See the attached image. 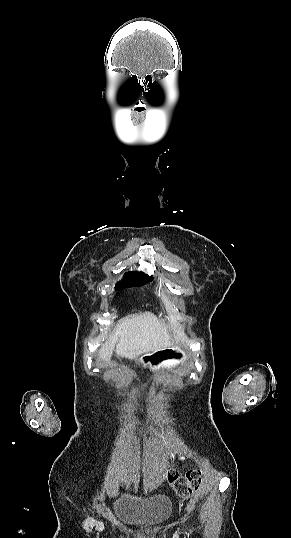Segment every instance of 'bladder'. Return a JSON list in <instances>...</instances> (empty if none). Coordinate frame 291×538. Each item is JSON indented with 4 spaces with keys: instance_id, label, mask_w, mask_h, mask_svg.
<instances>
[{
    "instance_id": "31cf9c89",
    "label": "bladder",
    "mask_w": 291,
    "mask_h": 538,
    "mask_svg": "<svg viewBox=\"0 0 291 538\" xmlns=\"http://www.w3.org/2000/svg\"><path fill=\"white\" fill-rule=\"evenodd\" d=\"M115 520L134 530H155L163 526L172 513L170 498L161 492L136 495L122 489L113 495Z\"/></svg>"
}]
</instances>
